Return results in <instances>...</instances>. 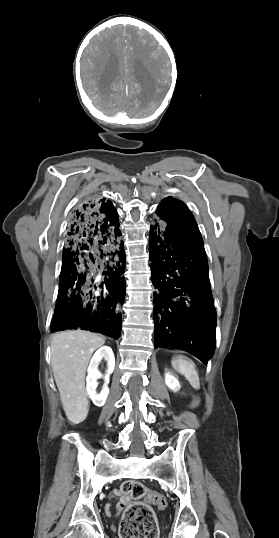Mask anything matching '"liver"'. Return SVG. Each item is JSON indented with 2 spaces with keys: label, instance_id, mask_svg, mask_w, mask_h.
Returning a JSON list of instances; mask_svg holds the SVG:
<instances>
[{
  "label": "liver",
  "instance_id": "1",
  "mask_svg": "<svg viewBox=\"0 0 279 538\" xmlns=\"http://www.w3.org/2000/svg\"><path fill=\"white\" fill-rule=\"evenodd\" d=\"M105 344L102 334L83 330L57 332L51 342V364L63 410L72 424L84 422L88 414L85 372L97 348Z\"/></svg>",
  "mask_w": 279,
  "mask_h": 538
}]
</instances>
